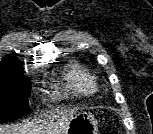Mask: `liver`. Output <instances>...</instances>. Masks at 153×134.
<instances>
[{
  "instance_id": "1",
  "label": "liver",
  "mask_w": 153,
  "mask_h": 134,
  "mask_svg": "<svg viewBox=\"0 0 153 134\" xmlns=\"http://www.w3.org/2000/svg\"><path fill=\"white\" fill-rule=\"evenodd\" d=\"M77 109L56 110L49 116L50 122L46 119L32 121L25 124L13 126H0V134H40L41 132H53V134H62L67 129L69 122L72 120ZM56 120V122H53Z\"/></svg>"
}]
</instances>
